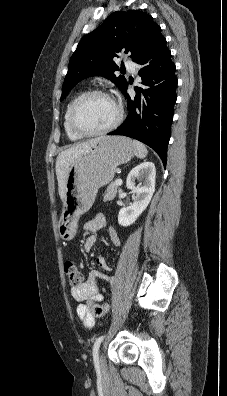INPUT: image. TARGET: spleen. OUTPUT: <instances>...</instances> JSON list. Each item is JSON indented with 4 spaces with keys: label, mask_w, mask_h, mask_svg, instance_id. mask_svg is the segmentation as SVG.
<instances>
[{
    "label": "spleen",
    "mask_w": 227,
    "mask_h": 396,
    "mask_svg": "<svg viewBox=\"0 0 227 396\" xmlns=\"http://www.w3.org/2000/svg\"><path fill=\"white\" fill-rule=\"evenodd\" d=\"M133 144L135 146L137 157L141 158V159L145 158L148 154V150H147L146 146L136 140L133 141Z\"/></svg>",
    "instance_id": "spleen-1"
}]
</instances>
